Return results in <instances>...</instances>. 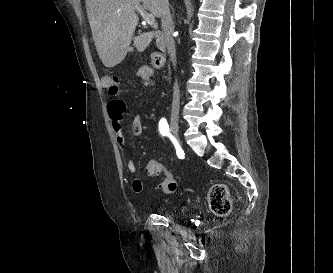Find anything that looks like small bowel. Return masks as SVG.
I'll list each match as a JSON object with an SVG mask.
<instances>
[{
	"instance_id": "c3829d8e",
	"label": "small bowel",
	"mask_w": 333,
	"mask_h": 273,
	"mask_svg": "<svg viewBox=\"0 0 333 273\" xmlns=\"http://www.w3.org/2000/svg\"><path fill=\"white\" fill-rule=\"evenodd\" d=\"M137 76L142 77L145 81L146 89L151 91L153 86L151 85L150 77L154 76V67L152 62H141ZM104 86H107L106 80L103 81ZM107 112L112 125V129L116 134V139L122 148L126 146V140L122 133V117L125 112V104L121 100H114L107 105ZM132 130L135 136H140L143 133L142 116L140 112H136L132 121ZM126 168L130 174H134L137 170L136 164L133 160L128 159L126 161ZM159 176V175H150ZM132 190L136 193H141L144 190L143 182L140 178H134L132 181Z\"/></svg>"
}]
</instances>
